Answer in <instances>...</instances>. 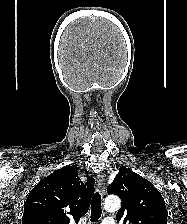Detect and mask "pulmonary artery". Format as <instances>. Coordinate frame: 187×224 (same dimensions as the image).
I'll list each match as a JSON object with an SVG mask.
<instances>
[{"label":"pulmonary artery","instance_id":"obj_1","mask_svg":"<svg viewBox=\"0 0 187 224\" xmlns=\"http://www.w3.org/2000/svg\"><path fill=\"white\" fill-rule=\"evenodd\" d=\"M102 224H115V221L112 218H105Z\"/></svg>","mask_w":187,"mask_h":224}]
</instances>
